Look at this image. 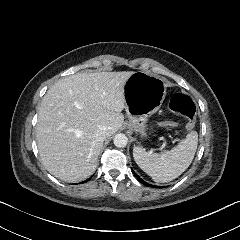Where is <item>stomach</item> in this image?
Here are the masks:
<instances>
[{"mask_svg":"<svg viewBox=\"0 0 240 240\" xmlns=\"http://www.w3.org/2000/svg\"><path fill=\"white\" fill-rule=\"evenodd\" d=\"M166 89V78L145 71H135L127 79L124 86V108L130 124L137 128L142 136L149 132V127L144 123L162 106Z\"/></svg>","mask_w":240,"mask_h":240,"instance_id":"1","label":"stomach"}]
</instances>
